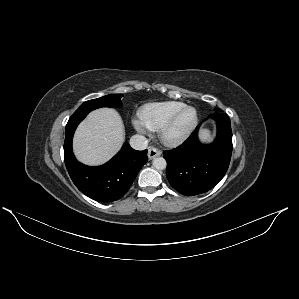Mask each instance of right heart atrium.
Here are the masks:
<instances>
[{"mask_svg": "<svg viewBox=\"0 0 299 299\" xmlns=\"http://www.w3.org/2000/svg\"><path fill=\"white\" fill-rule=\"evenodd\" d=\"M134 126L140 132H145V125L141 121H134Z\"/></svg>", "mask_w": 299, "mask_h": 299, "instance_id": "right-heart-atrium-1", "label": "right heart atrium"}]
</instances>
